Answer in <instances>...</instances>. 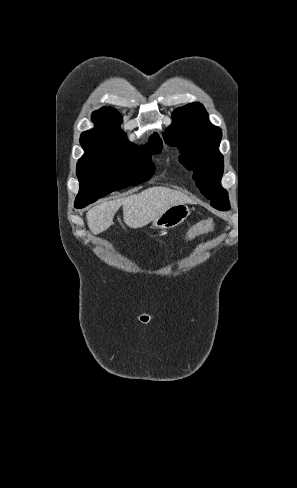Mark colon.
<instances>
[{
  "label": "colon",
  "instance_id": "colon-1",
  "mask_svg": "<svg viewBox=\"0 0 297 488\" xmlns=\"http://www.w3.org/2000/svg\"><path fill=\"white\" fill-rule=\"evenodd\" d=\"M209 222L198 223L194 225L186 234L185 241L190 242L210 228Z\"/></svg>",
  "mask_w": 297,
  "mask_h": 488
}]
</instances>
